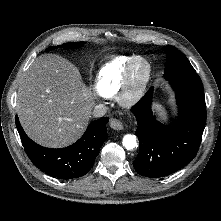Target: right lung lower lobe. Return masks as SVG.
Masks as SVG:
<instances>
[{
    "label": "right lung lower lobe",
    "mask_w": 221,
    "mask_h": 221,
    "mask_svg": "<svg viewBox=\"0 0 221 221\" xmlns=\"http://www.w3.org/2000/svg\"><path fill=\"white\" fill-rule=\"evenodd\" d=\"M108 120L102 117L93 121L77 142L65 148L52 149L33 142L25 134L17 115L15 117L25 152L33 164L46 174L64 180L84 176L92 168L101 145L107 139Z\"/></svg>",
    "instance_id": "98d812e1"
}]
</instances>
